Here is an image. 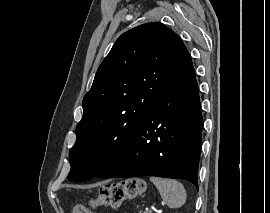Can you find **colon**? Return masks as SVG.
<instances>
[{
  "label": "colon",
  "mask_w": 270,
  "mask_h": 213,
  "mask_svg": "<svg viewBox=\"0 0 270 213\" xmlns=\"http://www.w3.org/2000/svg\"><path fill=\"white\" fill-rule=\"evenodd\" d=\"M146 191L147 186L142 179L129 178L113 182L101 187L98 196L88 204L75 203L71 213H94L99 207L117 208L124 200L142 196Z\"/></svg>",
  "instance_id": "colon-1"
}]
</instances>
